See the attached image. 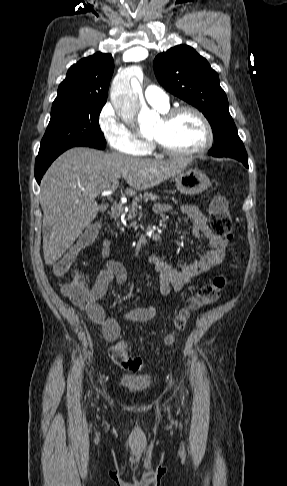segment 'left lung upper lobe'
Here are the masks:
<instances>
[{"mask_svg": "<svg viewBox=\"0 0 287 486\" xmlns=\"http://www.w3.org/2000/svg\"><path fill=\"white\" fill-rule=\"evenodd\" d=\"M154 72L167 91L198 108L208 119L215 142L210 155L247 157L218 74L205 58L188 45H178L157 55Z\"/></svg>", "mask_w": 287, "mask_h": 486, "instance_id": "5c2ea615", "label": "left lung upper lobe"}]
</instances>
